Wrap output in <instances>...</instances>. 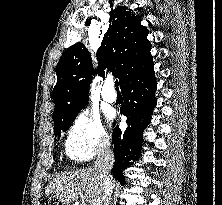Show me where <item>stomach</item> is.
<instances>
[{
	"mask_svg": "<svg viewBox=\"0 0 222 205\" xmlns=\"http://www.w3.org/2000/svg\"><path fill=\"white\" fill-rule=\"evenodd\" d=\"M57 205H65V204L63 202H61V201H58Z\"/></svg>",
	"mask_w": 222,
	"mask_h": 205,
	"instance_id": "0dacf381",
	"label": "stomach"
}]
</instances>
